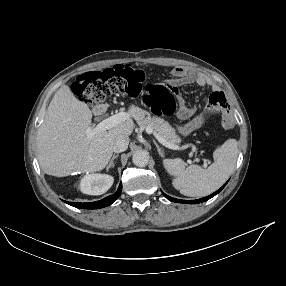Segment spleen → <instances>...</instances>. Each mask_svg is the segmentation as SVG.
I'll return each mask as SVG.
<instances>
[{"mask_svg":"<svg viewBox=\"0 0 286 286\" xmlns=\"http://www.w3.org/2000/svg\"><path fill=\"white\" fill-rule=\"evenodd\" d=\"M237 153V141L229 139L214 151L215 161L207 169L199 165L185 167L180 158L164 159L163 165L174 176L172 183L175 189L185 196L201 197L217 190L229 178L235 167Z\"/></svg>","mask_w":286,"mask_h":286,"instance_id":"1","label":"spleen"}]
</instances>
